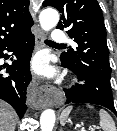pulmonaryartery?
<instances>
[{
    "instance_id": "pulmonary-artery-1",
    "label": "pulmonary artery",
    "mask_w": 117,
    "mask_h": 131,
    "mask_svg": "<svg viewBox=\"0 0 117 131\" xmlns=\"http://www.w3.org/2000/svg\"><path fill=\"white\" fill-rule=\"evenodd\" d=\"M52 41H54L55 43H63L65 41H67V36L66 34L60 30V29H55L52 33Z\"/></svg>"
}]
</instances>
